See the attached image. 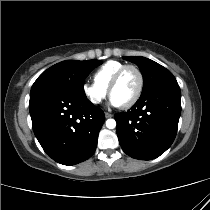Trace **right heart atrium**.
<instances>
[{"instance_id": "1", "label": "right heart atrium", "mask_w": 210, "mask_h": 210, "mask_svg": "<svg viewBox=\"0 0 210 210\" xmlns=\"http://www.w3.org/2000/svg\"><path fill=\"white\" fill-rule=\"evenodd\" d=\"M82 92L85 98L93 105H99L107 95L106 89L90 82L82 84Z\"/></svg>"}]
</instances>
